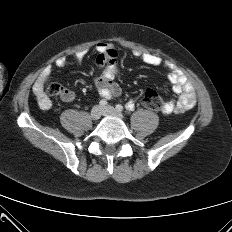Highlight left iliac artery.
Listing matches in <instances>:
<instances>
[{
  "instance_id": "1",
  "label": "left iliac artery",
  "mask_w": 232,
  "mask_h": 232,
  "mask_svg": "<svg viewBox=\"0 0 232 232\" xmlns=\"http://www.w3.org/2000/svg\"><path fill=\"white\" fill-rule=\"evenodd\" d=\"M116 109L118 111H122L123 110V106L121 104H117L116 105ZM126 109L129 110V111H133L134 110V103H127Z\"/></svg>"
}]
</instances>
